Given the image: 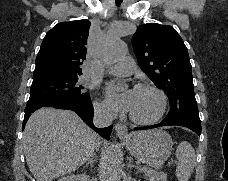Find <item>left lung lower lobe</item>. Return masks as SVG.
Segmentation results:
<instances>
[{"instance_id":"0a47b994","label":"left lung lower lobe","mask_w":228,"mask_h":181,"mask_svg":"<svg viewBox=\"0 0 228 181\" xmlns=\"http://www.w3.org/2000/svg\"><path fill=\"white\" fill-rule=\"evenodd\" d=\"M170 124L168 123H159V124H156V125H152V126H146V127H136L135 130H145V129H150V128H157V127H161V126H169ZM179 126H182V125H179ZM191 130H193L197 135L200 136L201 134V127H195V126H185Z\"/></svg>"}]
</instances>
